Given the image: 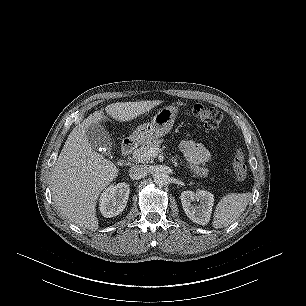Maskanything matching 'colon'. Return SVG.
<instances>
[{
	"label": "colon",
	"instance_id": "obj_1",
	"mask_svg": "<svg viewBox=\"0 0 306 306\" xmlns=\"http://www.w3.org/2000/svg\"><path fill=\"white\" fill-rule=\"evenodd\" d=\"M193 115L208 129H217L221 125L223 119L222 113L218 109L203 104H196L193 106ZM233 169L235 179L238 182H242L246 178L247 164L245 154L240 148L236 149Z\"/></svg>",
	"mask_w": 306,
	"mask_h": 306
}]
</instances>
